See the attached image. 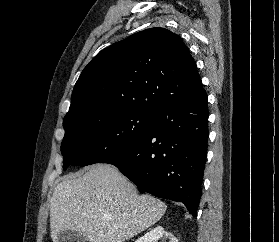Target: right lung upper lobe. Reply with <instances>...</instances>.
Listing matches in <instances>:
<instances>
[{
    "instance_id": "1",
    "label": "right lung upper lobe",
    "mask_w": 279,
    "mask_h": 242,
    "mask_svg": "<svg viewBox=\"0 0 279 242\" xmlns=\"http://www.w3.org/2000/svg\"><path fill=\"white\" fill-rule=\"evenodd\" d=\"M182 39L165 28L135 33L98 53L76 82L63 123L120 110H157L203 92Z\"/></svg>"
}]
</instances>
